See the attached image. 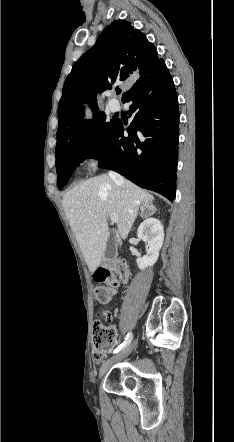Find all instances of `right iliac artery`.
Returning a JSON list of instances; mask_svg holds the SVG:
<instances>
[{
    "label": "right iliac artery",
    "mask_w": 234,
    "mask_h": 442,
    "mask_svg": "<svg viewBox=\"0 0 234 442\" xmlns=\"http://www.w3.org/2000/svg\"><path fill=\"white\" fill-rule=\"evenodd\" d=\"M132 338H133L132 333H128L125 338V341L115 349L114 353H117L120 350L124 349L126 346H128L131 343Z\"/></svg>",
    "instance_id": "right-iliac-artery-1"
}]
</instances>
